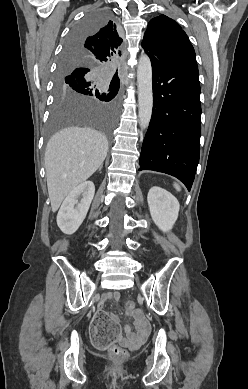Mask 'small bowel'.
Wrapping results in <instances>:
<instances>
[{"label":"small bowel","mask_w":248,"mask_h":389,"mask_svg":"<svg viewBox=\"0 0 248 389\" xmlns=\"http://www.w3.org/2000/svg\"><path fill=\"white\" fill-rule=\"evenodd\" d=\"M120 298L121 295L117 291L107 292L103 295V300L114 299L116 301H119ZM129 315L133 318V325L135 331L129 325H126L124 327V332L126 337L121 338L119 341L125 346L133 348V347L140 346L143 343V341L146 339L149 333V326L146 323L140 311L138 310L132 311L129 313ZM111 318L117 320V316L114 314H111Z\"/></svg>","instance_id":"obj_1"}]
</instances>
